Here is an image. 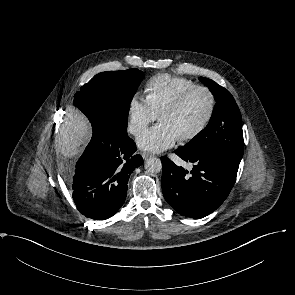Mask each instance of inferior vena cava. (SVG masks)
<instances>
[{
  "label": "inferior vena cava",
  "mask_w": 295,
  "mask_h": 295,
  "mask_svg": "<svg viewBox=\"0 0 295 295\" xmlns=\"http://www.w3.org/2000/svg\"><path fill=\"white\" fill-rule=\"evenodd\" d=\"M130 131L133 132V133L136 132L137 131V127H135V126L132 127Z\"/></svg>",
  "instance_id": "inferior-vena-cava-1"
}]
</instances>
